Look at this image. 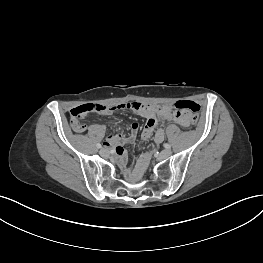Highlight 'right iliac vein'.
Instances as JSON below:
<instances>
[{
	"mask_svg": "<svg viewBox=\"0 0 263 263\" xmlns=\"http://www.w3.org/2000/svg\"><path fill=\"white\" fill-rule=\"evenodd\" d=\"M100 154H101L102 156H107V155H108V150L105 149V148H103V149L100 150Z\"/></svg>",
	"mask_w": 263,
	"mask_h": 263,
	"instance_id": "right-iliac-vein-1",
	"label": "right iliac vein"
}]
</instances>
